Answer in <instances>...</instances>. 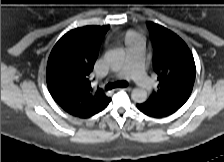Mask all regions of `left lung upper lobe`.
I'll list each match as a JSON object with an SVG mask.
<instances>
[{
	"label": "left lung upper lobe",
	"mask_w": 224,
	"mask_h": 162,
	"mask_svg": "<svg viewBox=\"0 0 224 162\" xmlns=\"http://www.w3.org/2000/svg\"><path fill=\"white\" fill-rule=\"evenodd\" d=\"M153 44L158 89L147 106L179 109L189 98L195 81V62L185 42L163 26L148 22Z\"/></svg>",
	"instance_id": "5c2ea615"
}]
</instances>
